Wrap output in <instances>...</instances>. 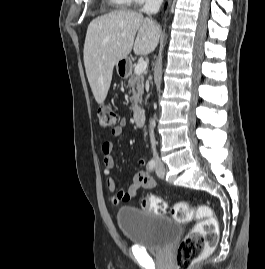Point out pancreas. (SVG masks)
<instances>
[{
  "label": "pancreas",
  "mask_w": 265,
  "mask_h": 269,
  "mask_svg": "<svg viewBox=\"0 0 265 269\" xmlns=\"http://www.w3.org/2000/svg\"><path fill=\"white\" fill-rule=\"evenodd\" d=\"M127 86L131 88L132 97L130 101L132 103V110H138V104L142 102V96L144 93V77L142 74L136 75L130 70V76Z\"/></svg>",
  "instance_id": "pancreas-1"
}]
</instances>
